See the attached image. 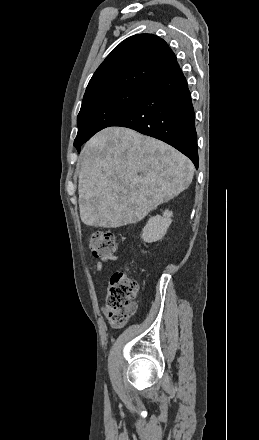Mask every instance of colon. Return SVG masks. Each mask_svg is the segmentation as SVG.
<instances>
[{"mask_svg":"<svg viewBox=\"0 0 259 440\" xmlns=\"http://www.w3.org/2000/svg\"><path fill=\"white\" fill-rule=\"evenodd\" d=\"M89 246L95 257L113 256L118 252L114 235L107 231H95ZM137 292V282L126 272H116L111 276L105 299V312L111 325L121 327L127 323L135 312Z\"/></svg>","mask_w":259,"mask_h":440,"instance_id":"obj_1","label":"colon"}]
</instances>
